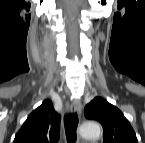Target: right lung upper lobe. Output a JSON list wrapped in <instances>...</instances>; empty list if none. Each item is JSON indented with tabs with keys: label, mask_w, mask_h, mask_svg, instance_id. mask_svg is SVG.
Listing matches in <instances>:
<instances>
[{
	"label": "right lung upper lobe",
	"mask_w": 145,
	"mask_h": 143,
	"mask_svg": "<svg viewBox=\"0 0 145 143\" xmlns=\"http://www.w3.org/2000/svg\"><path fill=\"white\" fill-rule=\"evenodd\" d=\"M60 115L50 100H45L24 122L15 136L14 143H57Z\"/></svg>",
	"instance_id": "obj_1"
}]
</instances>
